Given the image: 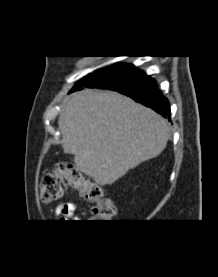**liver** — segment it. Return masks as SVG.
<instances>
[{
    "label": "liver",
    "mask_w": 218,
    "mask_h": 277,
    "mask_svg": "<svg viewBox=\"0 0 218 277\" xmlns=\"http://www.w3.org/2000/svg\"><path fill=\"white\" fill-rule=\"evenodd\" d=\"M58 126L64 152L101 186L158 156L168 141L164 118L113 91L85 89L65 98Z\"/></svg>",
    "instance_id": "1"
}]
</instances>
